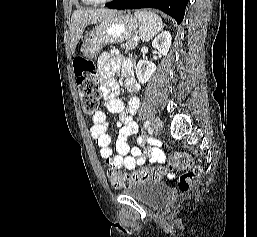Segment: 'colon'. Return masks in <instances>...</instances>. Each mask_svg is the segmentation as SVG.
<instances>
[{
    "instance_id": "colon-1",
    "label": "colon",
    "mask_w": 257,
    "mask_h": 237,
    "mask_svg": "<svg viewBox=\"0 0 257 237\" xmlns=\"http://www.w3.org/2000/svg\"><path fill=\"white\" fill-rule=\"evenodd\" d=\"M73 68L83 110L88 114H95L101 97L95 64L83 55H77L73 60ZM171 167L186 169L178 179V187L182 193L190 191L194 181L201 174L200 167L194 166L191 157L184 152L171 155ZM162 174V169L149 168H142L131 173L110 169L107 173L110 183L115 189L125 188L141 181L157 180Z\"/></svg>"
}]
</instances>
